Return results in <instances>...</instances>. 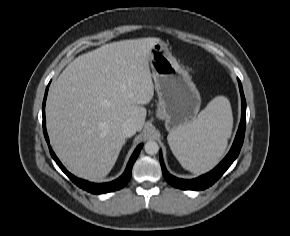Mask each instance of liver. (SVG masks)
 I'll list each match as a JSON object with an SVG mask.
<instances>
[{
    "instance_id": "obj_1",
    "label": "liver",
    "mask_w": 290,
    "mask_h": 236,
    "mask_svg": "<svg viewBox=\"0 0 290 236\" xmlns=\"http://www.w3.org/2000/svg\"><path fill=\"white\" fill-rule=\"evenodd\" d=\"M159 38L105 44L75 58L53 83L46 102L50 143L61 162L79 178H105L125 144L121 127L145 123L154 95L149 69Z\"/></svg>"
}]
</instances>
